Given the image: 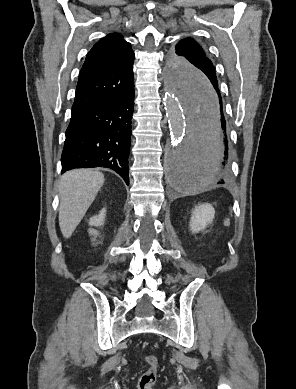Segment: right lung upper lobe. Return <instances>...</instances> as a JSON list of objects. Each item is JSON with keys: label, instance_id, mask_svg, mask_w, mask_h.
I'll return each mask as SVG.
<instances>
[{"label": "right lung upper lobe", "instance_id": "cb5924a9", "mask_svg": "<svg viewBox=\"0 0 296 389\" xmlns=\"http://www.w3.org/2000/svg\"><path fill=\"white\" fill-rule=\"evenodd\" d=\"M133 61L131 45L120 34L98 41L79 74L72 113L120 96L134 81Z\"/></svg>", "mask_w": 296, "mask_h": 389}]
</instances>
